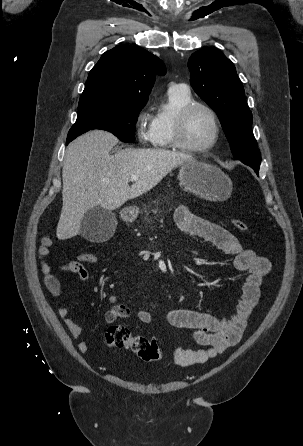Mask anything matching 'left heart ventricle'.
Here are the masks:
<instances>
[{"label": "left heart ventricle", "instance_id": "obj_1", "mask_svg": "<svg viewBox=\"0 0 303 446\" xmlns=\"http://www.w3.org/2000/svg\"><path fill=\"white\" fill-rule=\"evenodd\" d=\"M214 129L210 116L202 109L194 110L185 127V140L192 146H204L213 137Z\"/></svg>", "mask_w": 303, "mask_h": 446}]
</instances>
